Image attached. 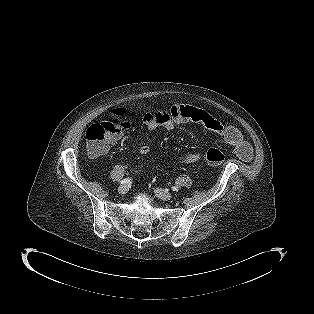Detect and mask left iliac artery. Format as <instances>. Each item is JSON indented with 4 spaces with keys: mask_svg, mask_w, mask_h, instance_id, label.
<instances>
[{
    "mask_svg": "<svg viewBox=\"0 0 314 314\" xmlns=\"http://www.w3.org/2000/svg\"><path fill=\"white\" fill-rule=\"evenodd\" d=\"M172 190L175 191V192H178L179 188L177 186H173Z\"/></svg>",
    "mask_w": 314,
    "mask_h": 314,
    "instance_id": "44dca946",
    "label": "left iliac artery"
}]
</instances>
